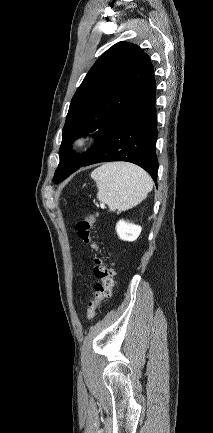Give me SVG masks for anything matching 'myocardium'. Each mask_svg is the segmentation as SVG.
<instances>
[{
	"mask_svg": "<svg viewBox=\"0 0 213 433\" xmlns=\"http://www.w3.org/2000/svg\"><path fill=\"white\" fill-rule=\"evenodd\" d=\"M91 143V137L87 134H82L74 138L71 143V149L74 152L84 151Z\"/></svg>",
	"mask_w": 213,
	"mask_h": 433,
	"instance_id": "1",
	"label": "myocardium"
}]
</instances>
